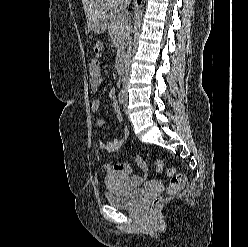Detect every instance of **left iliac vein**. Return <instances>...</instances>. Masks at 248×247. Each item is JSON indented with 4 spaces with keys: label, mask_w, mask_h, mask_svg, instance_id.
Instances as JSON below:
<instances>
[{
    "label": "left iliac vein",
    "mask_w": 248,
    "mask_h": 247,
    "mask_svg": "<svg viewBox=\"0 0 248 247\" xmlns=\"http://www.w3.org/2000/svg\"><path fill=\"white\" fill-rule=\"evenodd\" d=\"M124 111L127 112V94H124Z\"/></svg>",
    "instance_id": "4c4485c4"
}]
</instances>
